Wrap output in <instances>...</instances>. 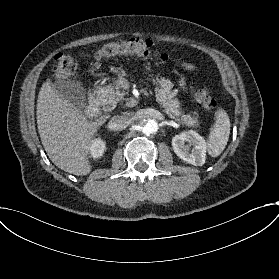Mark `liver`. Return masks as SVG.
<instances>
[{"label": "liver", "mask_w": 279, "mask_h": 279, "mask_svg": "<svg viewBox=\"0 0 279 279\" xmlns=\"http://www.w3.org/2000/svg\"><path fill=\"white\" fill-rule=\"evenodd\" d=\"M36 109L38 132L49 159L70 174H89L88 146L106 119L87 120L50 81L42 84Z\"/></svg>", "instance_id": "6515ba94"}]
</instances>
